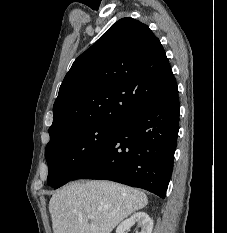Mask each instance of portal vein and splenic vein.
Returning <instances> with one entry per match:
<instances>
[{"label": "portal vein and splenic vein", "mask_w": 227, "mask_h": 233, "mask_svg": "<svg viewBox=\"0 0 227 233\" xmlns=\"http://www.w3.org/2000/svg\"><path fill=\"white\" fill-rule=\"evenodd\" d=\"M88 218H89V219H93V215H92V214H89V215H88Z\"/></svg>", "instance_id": "obj_1"}]
</instances>
